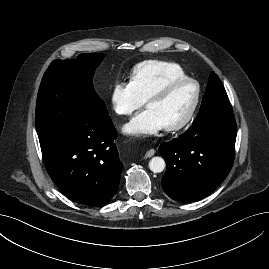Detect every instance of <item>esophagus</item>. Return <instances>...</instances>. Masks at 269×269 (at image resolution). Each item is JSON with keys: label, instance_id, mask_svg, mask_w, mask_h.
I'll use <instances>...</instances> for the list:
<instances>
[{"label": "esophagus", "instance_id": "1", "mask_svg": "<svg viewBox=\"0 0 269 269\" xmlns=\"http://www.w3.org/2000/svg\"><path fill=\"white\" fill-rule=\"evenodd\" d=\"M155 154V150L154 149H150L146 152L145 154V158H149L151 156H153Z\"/></svg>", "mask_w": 269, "mask_h": 269}]
</instances>
